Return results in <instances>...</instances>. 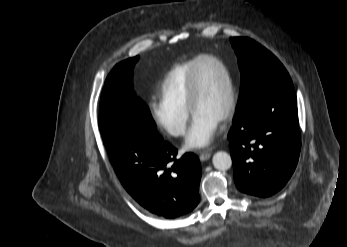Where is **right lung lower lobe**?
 I'll return each mask as SVG.
<instances>
[{"label": "right lung lower lobe", "mask_w": 347, "mask_h": 247, "mask_svg": "<svg viewBox=\"0 0 347 247\" xmlns=\"http://www.w3.org/2000/svg\"><path fill=\"white\" fill-rule=\"evenodd\" d=\"M101 134L119 180L140 205L169 219L197 206L201 168L193 153L176 159L177 149L137 121L115 124Z\"/></svg>", "instance_id": "98d812e1"}]
</instances>
